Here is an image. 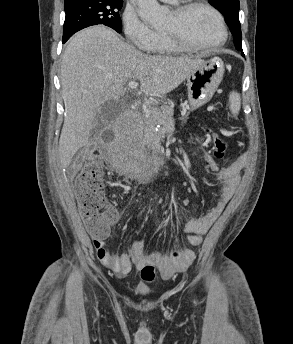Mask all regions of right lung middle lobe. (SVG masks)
<instances>
[{
  "label": "right lung middle lobe",
  "instance_id": "right-lung-middle-lobe-1",
  "mask_svg": "<svg viewBox=\"0 0 293 344\" xmlns=\"http://www.w3.org/2000/svg\"><path fill=\"white\" fill-rule=\"evenodd\" d=\"M122 5L123 0H78L65 4L63 42L77 31L98 24L111 27L120 33L122 22L119 10Z\"/></svg>",
  "mask_w": 293,
  "mask_h": 344
}]
</instances>
